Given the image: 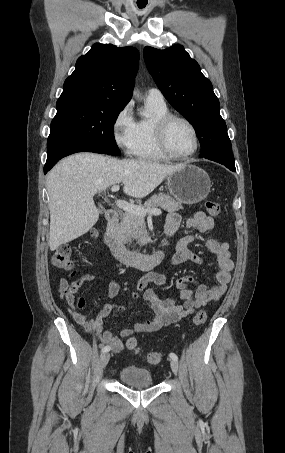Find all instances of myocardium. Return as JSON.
I'll list each match as a JSON object with an SVG mask.
<instances>
[{
	"mask_svg": "<svg viewBox=\"0 0 285 453\" xmlns=\"http://www.w3.org/2000/svg\"><path fill=\"white\" fill-rule=\"evenodd\" d=\"M175 121H180V122L185 123L191 129V131L193 133L195 146H194L193 150L188 154L178 155V154L174 153L169 147L168 130H169L171 124ZM155 138H156L157 145H158L159 149L161 150V152L166 157L175 159V160H185V159L191 158L192 156H194L197 153L199 146H200L199 134H198V131H197L196 127L194 126V124L185 117L171 114V113L166 114L156 120V122H155Z\"/></svg>",
	"mask_w": 285,
	"mask_h": 453,
	"instance_id": "myocardium-1",
	"label": "myocardium"
}]
</instances>
